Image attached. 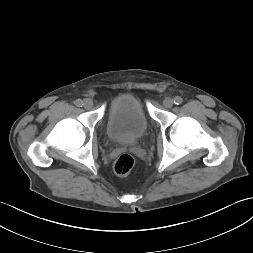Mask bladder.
<instances>
[{"mask_svg": "<svg viewBox=\"0 0 253 253\" xmlns=\"http://www.w3.org/2000/svg\"><path fill=\"white\" fill-rule=\"evenodd\" d=\"M148 120L141 101L135 96L122 93L109 104L106 132L116 144H132L147 132Z\"/></svg>", "mask_w": 253, "mask_h": 253, "instance_id": "bladder-1", "label": "bladder"}]
</instances>
